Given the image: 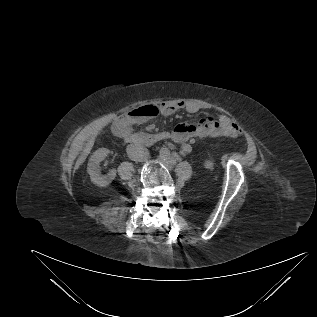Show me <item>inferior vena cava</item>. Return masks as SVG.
<instances>
[{"instance_id": "inferior-vena-cava-1", "label": "inferior vena cava", "mask_w": 317, "mask_h": 317, "mask_svg": "<svg viewBox=\"0 0 317 317\" xmlns=\"http://www.w3.org/2000/svg\"><path fill=\"white\" fill-rule=\"evenodd\" d=\"M126 152L131 160L138 162L146 161L149 156L148 149L137 143L129 144L126 148Z\"/></svg>"}]
</instances>
